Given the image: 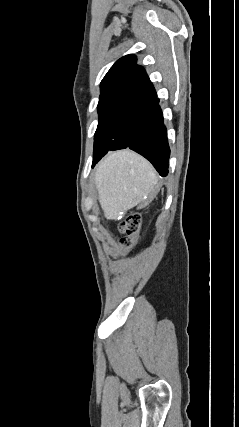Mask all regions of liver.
<instances>
[{"mask_svg": "<svg viewBox=\"0 0 239 427\" xmlns=\"http://www.w3.org/2000/svg\"><path fill=\"white\" fill-rule=\"evenodd\" d=\"M95 185L104 216L117 220L127 210L141 202V207L146 206L152 200L157 176L146 159L126 149L113 152L100 162Z\"/></svg>", "mask_w": 239, "mask_h": 427, "instance_id": "obj_1", "label": "liver"}]
</instances>
